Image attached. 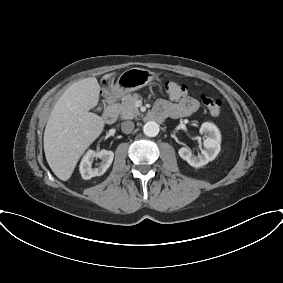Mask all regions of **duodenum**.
Wrapping results in <instances>:
<instances>
[{"label":"duodenum","mask_w":283,"mask_h":283,"mask_svg":"<svg viewBox=\"0 0 283 283\" xmlns=\"http://www.w3.org/2000/svg\"><path fill=\"white\" fill-rule=\"evenodd\" d=\"M116 101H117L116 96H110L106 99V108L103 112V120L108 124L113 123L116 119L117 116V112L115 108ZM147 118L149 120L161 122L166 118V116L163 113H157L154 112L153 110V112L147 115Z\"/></svg>","instance_id":"duodenum-1"}]
</instances>
